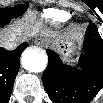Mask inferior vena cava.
Returning a JSON list of instances; mask_svg holds the SVG:
<instances>
[{
	"label": "inferior vena cava",
	"mask_w": 103,
	"mask_h": 103,
	"mask_svg": "<svg viewBox=\"0 0 103 103\" xmlns=\"http://www.w3.org/2000/svg\"><path fill=\"white\" fill-rule=\"evenodd\" d=\"M17 43L16 42H10V41H8V42H6V43H4L3 44V46H4V48H6V49H8V50H13V49H15L16 47H17Z\"/></svg>",
	"instance_id": "1"
}]
</instances>
